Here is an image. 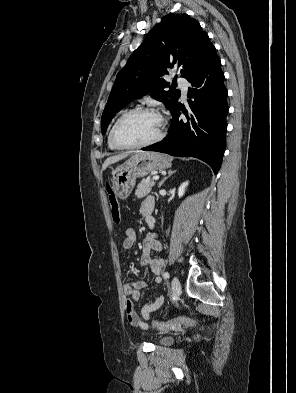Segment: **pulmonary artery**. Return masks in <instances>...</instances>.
<instances>
[{
	"label": "pulmonary artery",
	"instance_id": "1",
	"mask_svg": "<svg viewBox=\"0 0 296 393\" xmlns=\"http://www.w3.org/2000/svg\"><path fill=\"white\" fill-rule=\"evenodd\" d=\"M178 85L181 88V92H182V96L183 98L186 97L187 95V91H188V87H189V82L183 78V77H179L178 78Z\"/></svg>",
	"mask_w": 296,
	"mask_h": 393
}]
</instances>
